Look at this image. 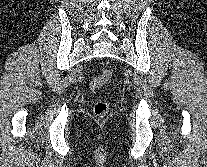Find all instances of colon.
Masks as SVG:
<instances>
[{
    "instance_id": "colon-1",
    "label": "colon",
    "mask_w": 207,
    "mask_h": 167,
    "mask_svg": "<svg viewBox=\"0 0 207 167\" xmlns=\"http://www.w3.org/2000/svg\"><path fill=\"white\" fill-rule=\"evenodd\" d=\"M112 76L110 70H105L98 76L93 77L89 82V88L91 91L100 89L105 83H107ZM94 114L97 117H104L110 111V103L107 101H98L95 103L93 108Z\"/></svg>"
}]
</instances>
